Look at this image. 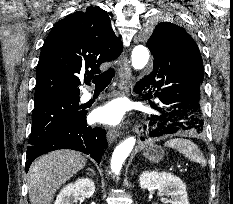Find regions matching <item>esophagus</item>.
<instances>
[{
    "label": "esophagus",
    "instance_id": "obj_1",
    "mask_svg": "<svg viewBox=\"0 0 233 204\" xmlns=\"http://www.w3.org/2000/svg\"><path fill=\"white\" fill-rule=\"evenodd\" d=\"M130 76H131V67L127 59V55L124 52L119 67V75L117 76V81L120 89L126 88V85L124 83L130 80ZM118 136H119V132L116 129H109L107 132L108 143L110 144L113 143Z\"/></svg>",
    "mask_w": 233,
    "mask_h": 204
}]
</instances>
